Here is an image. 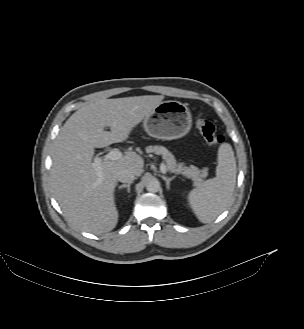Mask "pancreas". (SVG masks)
<instances>
[{"instance_id":"pancreas-1","label":"pancreas","mask_w":304,"mask_h":329,"mask_svg":"<svg viewBox=\"0 0 304 329\" xmlns=\"http://www.w3.org/2000/svg\"><path fill=\"white\" fill-rule=\"evenodd\" d=\"M146 152L162 155L166 162L167 171L175 174H182L186 178L191 179L194 186L199 185L208 175L207 167L199 169L194 165L186 167L184 166V163H177L172 153L163 146H147Z\"/></svg>"}]
</instances>
